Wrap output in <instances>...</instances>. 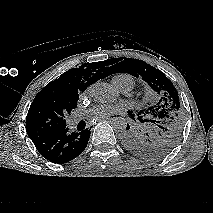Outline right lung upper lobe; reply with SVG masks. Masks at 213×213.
<instances>
[{
    "mask_svg": "<svg viewBox=\"0 0 213 213\" xmlns=\"http://www.w3.org/2000/svg\"><path fill=\"white\" fill-rule=\"evenodd\" d=\"M107 74L99 69V62L85 63L63 73L45 86L37 97L42 95L60 94L79 98V92L84 91L90 84L106 77Z\"/></svg>",
    "mask_w": 213,
    "mask_h": 213,
    "instance_id": "right-lung-upper-lobe-1",
    "label": "right lung upper lobe"
}]
</instances>
